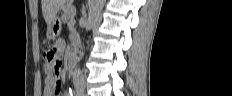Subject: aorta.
<instances>
[{"label": "aorta", "mask_w": 232, "mask_h": 96, "mask_svg": "<svg viewBox=\"0 0 232 96\" xmlns=\"http://www.w3.org/2000/svg\"><path fill=\"white\" fill-rule=\"evenodd\" d=\"M105 0H91L89 3V11H88V20L86 22V30H90L95 24L103 6ZM75 73L77 75L81 74L80 69L76 70Z\"/></svg>", "instance_id": "aorta-1"}]
</instances>
